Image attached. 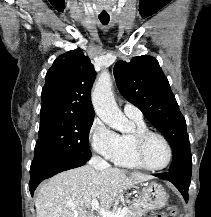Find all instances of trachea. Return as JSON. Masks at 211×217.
Returning a JSON list of instances; mask_svg holds the SVG:
<instances>
[{"instance_id":"1","label":"trachea","mask_w":211,"mask_h":217,"mask_svg":"<svg viewBox=\"0 0 211 217\" xmlns=\"http://www.w3.org/2000/svg\"><path fill=\"white\" fill-rule=\"evenodd\" d=\"M99 20L103 25H107L110 18L109 17H99Z\"/></svg>"}]
</instances>
